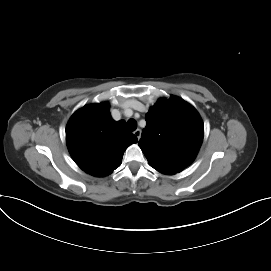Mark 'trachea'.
<instances>
[{
    "mask_svg": "<svg viewBox=\"0 0 271 271\" xmlns=\"http://www.w3.org/2000/svg\"><path fill=\"white\" fill-rule=\"evenodd\" d=\"M128 130L135 131L137 128V122L134 119H129L126 124Z\"/></svg>",
    "mask_w": 271,
    "mask_h": 271,
    "instance_id": "obj_1",
    "label": "trachea"
}]
</instances>
